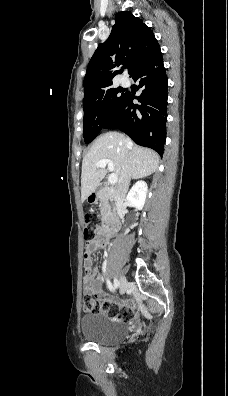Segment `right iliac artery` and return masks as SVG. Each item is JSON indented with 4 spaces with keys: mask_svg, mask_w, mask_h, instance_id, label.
<instances>
[{
    "mask_svg": "<svg viewBox=\"0 0 228 396\" xmlns=\"http://www.w3.org/2000/svg\"><path fill=\"white\" fill-rule=\"evenodd\" d=\"M109 283V289L110 291H114L119 287V281L117 279H114V285H112L110 282Z\"/></svg>",
    "mask_w": 228,
    "mask_h": 396,
    "instance_id": "right-iliac-artery-1",
    "label": "right iliac artery"
}]
</instances>
